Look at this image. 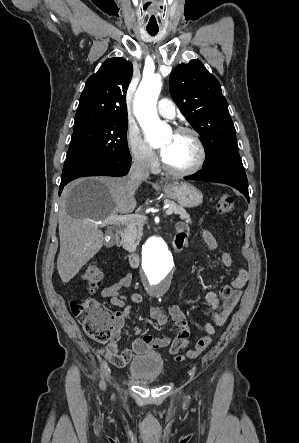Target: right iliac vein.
<instances>
[{
	"mask_svg": "<svg viewBox=\"0 0 299 443\" xmlns=\"http://www.w3.org/2000/svg\"><path fill=\"white\" fill-rule=\"evenodd\" d=\"M100 387H101L102 389L105 388V382H104L103 380H102L101 383H100Z\"/></svg>",
	"mask_w": 299,
	"mask_h": 443,
	"instance_id": "1",
	"label": "right iliac vein"
}]
</instances>
